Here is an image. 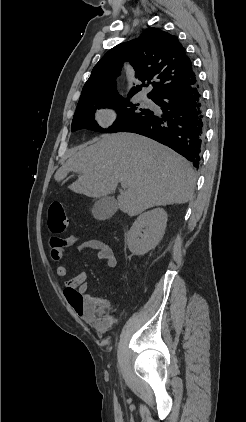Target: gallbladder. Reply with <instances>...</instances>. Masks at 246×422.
<instances>
[{
  "label": "gallbladder",
  "mask_w": 246,
  "mask_h": 422,
  "mask_svg": "<svg viewBox=\"0 0 246 422\" xmlns=\"http://www.w3.org/2000/svg\"><path fill=\"white\" fill-rule=\"evenodd\" d=\"M117 208V201L114 197L104 196L96 200L92 214L97 220H107L115 214Z\"/></svg>",
  "instance_id": "obj_1"
}]
</instances>
